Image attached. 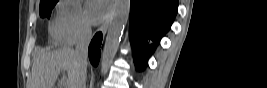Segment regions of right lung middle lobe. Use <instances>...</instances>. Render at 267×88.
I'll use <instances>...</instances> for the list:
<instances>
[{"mask_svg":"<svg viewBox=\"0 0 267 88\" xmlns=\"http://www.w3.org/2000/svg\"><path fill=\"white\" fill-rule=\"evenodd\" d=\"M58 2V0H46L40 3V16L42 18L44 17H50L51 11L55 4Z\"/></svg>","mask_w":267,"mask_h":88,"instance_id":"dd1d6c3e","label":"right lung middle lobe"}]
</instances>
